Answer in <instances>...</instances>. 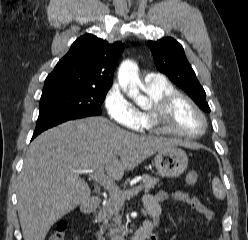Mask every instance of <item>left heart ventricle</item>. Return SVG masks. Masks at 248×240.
Segmentation results:
<instances>
[{
  "label": "left heart ventricle",
  "mask_w": 248,
  "mask_h": 240,
  "mask_svg": "<svg viewBox=\"0 0 248 240\" xmlns=\"http://www.w3.org/2000/svg\"><path fill=\"white\" fill-rule=\"evenodd\" d=\"M167 125L183 133H197L203 129V121L195 109L185 100L179 99L173 105L167 118Z\"/></svg>",
  "instance_id": "1"
}]
</instances>
